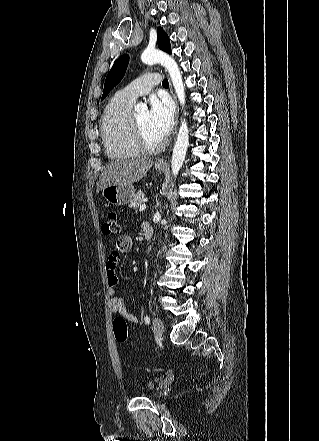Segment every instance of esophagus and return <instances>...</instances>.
Masks as SVG:
<instances>
[{"label":"esophagus","instance_id":"esophagus-1","mask_svg":"<svg viewBox=\"0 0 319 441\" xmlns=\"http://www.w3.org/2000/svg\"><path fill=\"white\" fill-rule=\"evenodd\" d=\"M170 92H171V94H172V96H173V99H174V101H175V104H176V127H177V125H178V117H179V105H178V101H177V98H176V96H175V94H174V92H173V88H172V86H171V84H170ZM156 164L157 165H165L166 164V161H165V159H158L157 161H156Z\"/></svg>","mask_w":319,"mask_h":441}]
</instances>
